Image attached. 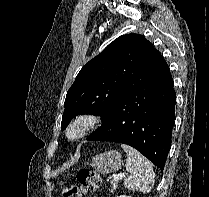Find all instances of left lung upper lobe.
Here are the masks:
<instances>
[{"label":"left lung upper lobe","instance_id":"obj_1","mask_svg":"<svg viewBox=\"0 0 209 197\" xmlns=\"http://www.w3.org/2000/svg\"><path fill=\"white\" fill-rule=\"evenodd\" d=\"M160 52L142 35L115 39L78 73L67 92L61 129L78 114L107 115L115 102L138 83Z\"/></svg>","mask_w":209,"mask_h":197}]
</instances>
